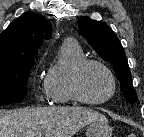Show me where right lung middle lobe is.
Segmentation results:
<instances>
[{"label": "right lung middle lobe", "mask_w": 144, "mask_h": 137, "mask_svg": "<svg viewBox=\"0 0 144 137\" xmlns=\"http://www.w3.org/2000/svg\"><path fill=\"white\" fill-rule=\"evenodd\" d=\"M34 60L0 64V106L23 100L29 71Z\"/></svg>", "instance_id": "right-lung-middle-lobe-1"}]
</instances>
